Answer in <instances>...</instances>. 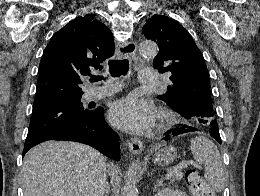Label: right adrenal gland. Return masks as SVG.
<instances>
[{
	"label": "right adrenal gland",
	"mask_w": 260,
	"mask_h": 196,
	"mask_svg": "<svg viewBox=\"0 0 260 196\" xmlns=\"http://www.w3.org/2000/svg\"><path fill=\"white\" fill-rule=\"evenodd\" d=\"M105 188H106V190H105L104 196H109V192H110L109 184H107V186H105Z\"/></svg>",
	"instance_id": "obj_1"
}]
</instances>
